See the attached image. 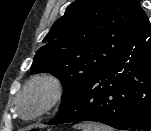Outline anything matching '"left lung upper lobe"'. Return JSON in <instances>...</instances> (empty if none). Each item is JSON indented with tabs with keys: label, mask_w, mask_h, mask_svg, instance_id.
<instances>
[{
	"label": "left lung upper lobe",
	"mask_w": 151,
	"mask_h": 131,
	"mask_svg": "<svg viewBox=\"0 0 151 131\" xmlns=\"http://www.w3.org/2000/svg\"><path fill=\"white\" fill-rule=\"evenodd\" d=\"M140 10V0H76L53 24L30 72L61 79L60 109L88 78L128 54Z\"/></svg>",
	"instance_id": "left-lung-upper-lobe-1"
}]
</instances>
